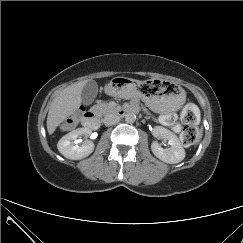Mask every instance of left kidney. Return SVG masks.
I'll list each match as a JSON object with an SVG mask.
<instances>
[{"label":"left kidney","mask_w":243,"mask_h":243,"mask_svg":"<svg viewBox=\"0 0 243 243\" xmlns=\"http://www.w3.org/2000/svg\"><path fill=\"white\" fill-rule=\"evenodd\" d=\"M153 133L156 137L160 136L168 140V144L170 145L169 148H162L158 142L152 143L151 150L158 159L169 164H175L185 158V150L173 132L162 126H156L153 129Z\"/></svg>","instance_id":"left-kidney-1"}]
</instances>
